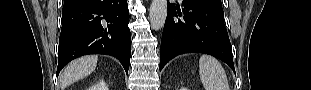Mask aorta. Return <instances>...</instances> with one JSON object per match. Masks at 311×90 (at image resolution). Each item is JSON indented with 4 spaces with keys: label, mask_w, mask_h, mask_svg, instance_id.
<instances>
[{
    "label": "aorta",
    "mask_w": 311,
    "mask_h": 90,
    "mask_svg": "<svg viewBox=\"0 0 311 90\" xmlns=\"http://www.w3.org/2000/svg\"><path fill=\"white\" fill-rule=\"evenodd\" d=\"M167 17V0H152L149 20L154 30L163 28Z\"/></svg>",
    "instance_id": "aorta-1"
}]
</instances>
